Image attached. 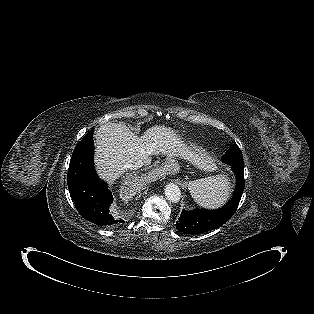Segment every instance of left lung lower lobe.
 Returning <instances> with one entry per match:
<instances>
[{"label": "left lung lower lobe", "instance_id": "obj_1", "mask_svg": "<svg viewBox=\"0 0 314 314\" xmlns=\"http://www.w3.org/2000/svg\"><path fill=\"white\" fill-rule=\"evenodd\" d=\"M236 175V189L231 200L222 208L217 210L196 209L192 211L183 210L176 222L179 232L187 234H200L220 227L227 222L235 213L244 191V168L243 164L231 165Z\"/></svg>", "mask_w": 314, "mask_h": 314}]
</instances>
